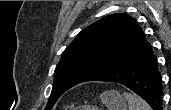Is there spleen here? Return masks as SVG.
Wrapping results in <instances>:
<instances>
[{
    "label": "spleen",
    "mask_w": 171,
    "mask_h": 110,
    "mask_svg": "<svg viewBox=\"0 0 171 110\" xmlns=\"http://www.w3.org/2000/svg\"><path fill=\"white\" fill-rule=\"evenodd\" d=\"M124 98L127 100L129 110H152L149 104L134 93L124 92Z\"/></svg>",
    "instance_id": "1"
}]
</instances>
